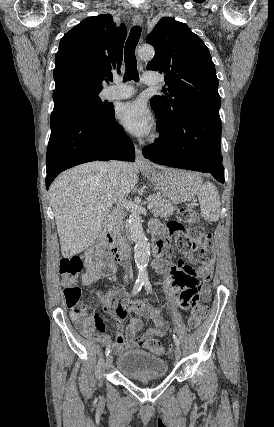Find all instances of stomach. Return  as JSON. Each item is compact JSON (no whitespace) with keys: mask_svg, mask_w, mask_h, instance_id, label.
Here are the masks:
<instances>
[{"mask_svg":"<svg viewBox=\"0 0 274 427\" xmlns=\"http://www.w3.org/2000/svg\"><path fill=\"white\" fill-rule=\"evenodd\" d=\"M147 178L156 186L163 196L169 198L175 204L189 202L197 192L198 184L201 182L199 174L183 172V170H146Z\"/></svg>","mask_w":274,"mask_h":427,"instance_id":"1","label":"stomach"}]
</instances>
